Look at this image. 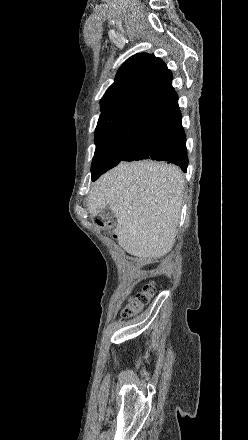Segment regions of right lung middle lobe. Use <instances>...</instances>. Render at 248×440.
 <instances>
[{
	"label": "right lung middle lobe",
	"mask_w": 248,
	"mask_h": 440,
	"mask_svg": "<svg viewBox=\"0 0 248 440\" xmlns=\"http://www.w3.org/2000/svg\"><path fill=\"white\" fill-rule=\"evenodd\" d=\"M130 132H118L96 144L91 167L92 181L121 162Z\"/></svg>",
	"instance_id": "dd1d6c3e"
}]
</instances>
